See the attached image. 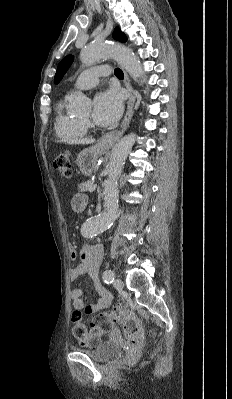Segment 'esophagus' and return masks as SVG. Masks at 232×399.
I'll use <instances>...</instances> for the list:
<instances>
[{"mask_svg": "<svg viewBox=\"0 0 232 399\" xmlns=\"http://www.w3.org/2000/svg\"><path fill=\"white\" fill-rule=\"evenodd\" d=\"M123 73H124V83L130 94L127 102L126 113L123 118L120 130H112L111 132H108L107 134H104L102 135V137H100L97 143V147L99 148L110 149L115 144V142H117V140L120 139L121 135L125 132V130H127L134 113L133 107L136 100V96L132 88V85L130 83L128 74L125 72V70H123Z\"/></svg>", "mask_w": 232, "mask_h": 399, "instance_id": "esophagus-1", "label": "esophagus"}]
</instances>
